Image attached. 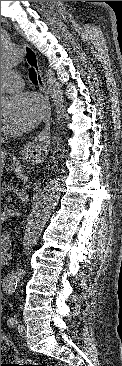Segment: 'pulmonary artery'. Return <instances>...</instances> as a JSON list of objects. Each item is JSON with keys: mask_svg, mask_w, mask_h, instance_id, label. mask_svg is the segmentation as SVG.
<instances>
[{"mask_svg": "<svg viewBox=\"0 0 122 366\" xmlns=\"http://www.w3.org/2000/svg\"><path fill=\"white\" fill-rule=\"evenodd\" d=\"M23 87L21 76L13 71L1 72V92L15 91Z\"/></svg>", "mask_w": 122, "mask_h": 366, "instance_id": "pulmonary-artery-1", "label": "pulmonary artery"}]
</instances>
